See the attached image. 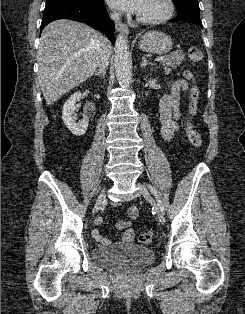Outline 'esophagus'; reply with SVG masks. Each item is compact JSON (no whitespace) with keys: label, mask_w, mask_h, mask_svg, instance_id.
I'll return each instance as SVG.
<instances>
[{"label":"esophagus","mask_w":245,"mask_h":314,"mask_svg":"<svg viewBox=\"0 0 245 314\" xmlns=\"http://www.w3.org/2000/svg\"><path fill=\"white\" fill-rule=\"evenodd\" d=\"M115 27H116L117 31H120V32L125 33V34L129 33L128 27L122 22H116Z\"/></svg>","instance_id":"obj_1"}]
</instances>
